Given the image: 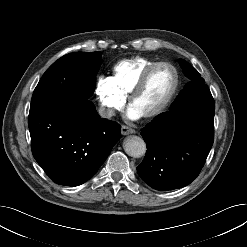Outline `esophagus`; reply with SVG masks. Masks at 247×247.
<instances>
[{
	"label": "esophagus",
	"mask_w": 247,
	"mask_h": 247,
	"mask_svg": "<svg viewBox=\"0 0 247 247\" xmlns=\"http://www.w3.org/2000/svg\"><path fill=\"white\" fill-rule=\"evenodd\" d=\"M121 133H122V135H129V134L135 133V130L128 127V126L123 125L121 127Z\"/></svg>",
	"instance_id": "esophagus-1"
}]
</instances>
